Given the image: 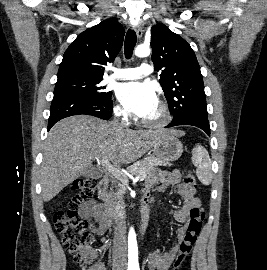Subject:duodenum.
<instances>
[{
    "instance_id": "obj_1",
    "label": "duodenum",
    "mask_w": 267,
    "mask_h": 270,
    "mask_svg": "<svg viewBox=\"0 0 267 270\" xmlns=\"http://www.w3.org/2000/svg\"><path fill=\"white\" fill-rule=\"evenodd\" d=\"M109 185V177L107 175L103 176L98 183V197L102 201L104 207L108 210L109 216L117 224L121 225L123 223V213L121 209L116 207L109 199L107 189ZM149 199L147 197L143 198V210L141 219L138 222V227L140 229H145L149 221Z\"/></svg>"
}]
</instances>
